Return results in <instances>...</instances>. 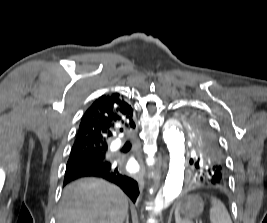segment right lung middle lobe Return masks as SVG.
<instances>
[{"label": "right lung middle lobe", "instance_id": "obj_1", "mask_svg": "<svg viewBox=\"0 0 267 223\" xmlns=\"http://www.w3.org/2000/svg\"><path fill=\"white\" fill-rule=\"evenodd\" d=\"M107 150H102L92 146H81L71 150L70 158L67 162L66 168L72 167L83 160H107Z\"/></svg>", "mask_w": 267, "mask_h": 223}]
</instances>
